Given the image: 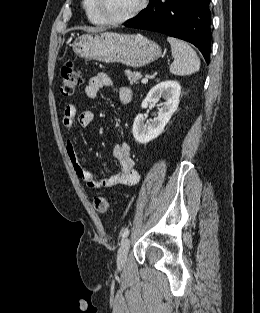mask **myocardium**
Masks as SVG:
<instances>
[{"mask_svg":"<svg viewBox=\"0 0 260 313\" xmlns=\"http://www.w3.org/2000/svg\"><path fill=\"white\" fill-rule=\"evenodd\" d=\"M145 4H146V0H138L136 6L127 15L120 17V18H110L104 13L103 8L101 6V0H94V8L98 16L101 18V20L105 24H110V25H119V24H123L134 19L144 9Z\"/></svg>","mask_w":260,"mask_h":313,"instance_id":"f54148a6","label":"myocardium"}]
</instances>
